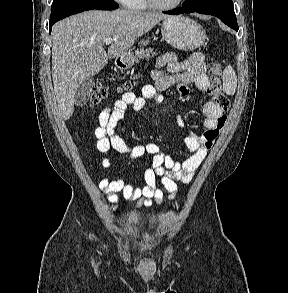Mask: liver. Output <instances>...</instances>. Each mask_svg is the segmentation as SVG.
<instances>
[{
	"label": "liver",
	"instance_id": "liver-1",
	"mask_svg": "<svg viewBox=\"0 0 288 293\" xmlns=\"http://www.w3.org/2000/svg\"><path fill=\"white\" fill-rule=\"evenodd\" d=\"M169 16L134 10H92L53 26L52 78L59 112L68 120L80 84L98 74L108 59L128 53L135 41ZM107 38H116L107 52Z\"/></svg>",
	"mask_w": 288,
	"mask_h": 293
}]
</instances>
